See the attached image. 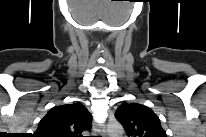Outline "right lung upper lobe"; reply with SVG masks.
<instances>
[{
    "label": "right lung upper lobe",
    "mask_w": 206,
    "mask_h": 137,
    "mask_svg": "<svg viewBox=\"0 0 206 137\" xmlns=\"http://www.w3.org/2000/svg\"><path fill=\"white\" fill-rule=\"evenodd\" d=\"M92 116L81 103L53 107L39 122L38 137H77L91 128Z\"/></svg>",
    "instance_id": "cb5924a9"
}]
</instances>
